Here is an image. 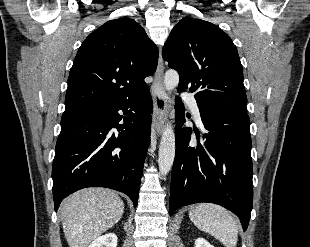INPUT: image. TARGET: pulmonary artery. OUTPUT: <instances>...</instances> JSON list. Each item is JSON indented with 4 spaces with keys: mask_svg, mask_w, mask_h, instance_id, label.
<instances>
[{
    "mask_svg": "<svg viewBox=\"0 0 310 247\" xmlns=\"http://www.w3.org/2000/svg\"><path fill=\"white\" fill-rule=\"evenodd\" d=\"M182 98L187 103V105L190 107V109H191L193 115L195 116L196 120L198 122H201L200 110H199L197 100L192 95H189V94H183Z\"/></svg>",
    "mask_w": 310,
    "mask_h": 247,
    "instance_id": "e3ab8cb5",
    "label": "pulmonary artery"
}]
</instances>
